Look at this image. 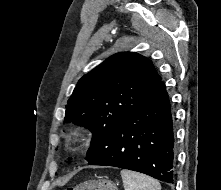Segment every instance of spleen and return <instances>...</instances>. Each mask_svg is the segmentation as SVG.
<instances>
[{
    "instance_id": "spleen-1",
    "label": "spleen",
    "mask_w": 221,
    "mask_h": 190,
    "mask_svg": "<svg viewBox=\"0 0 221 190\" xmlns=\"http://www.w3.org/2000/svg\"><path fill=\"white\" fill-rule=\"evenodd\" d=\"M121 177L125 190H161L157 180L134 171L122 170Z\"/></svg>"
}]
</instances>
